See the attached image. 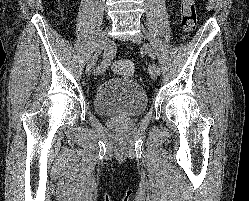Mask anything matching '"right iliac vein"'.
<instances>
[{"label":"right iliac vein","instance_id":"right-iliac-vein-1","mask_svg":"<svg viewBox=\"0 0 249 201\" xmlns=\"http://www.w3.org/2000/svg\"><path fill=\"white\" fill-rule=\"evenodd\" d=\"M109 44V39H108V34L107 32H103L100 36L99 39V43L96 49V52L94 54V56L89 60L87 66H86V74L90 75L92 73V71L94 70V67L96 65L98 56L100 55V53L105 50L107 48Z\"/></svg>","mask_w":249,"mask_h":201}]
</instances>
